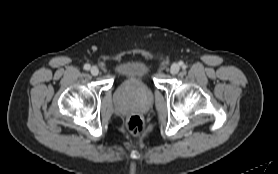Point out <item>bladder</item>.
<instances>
[{
    "instance_id": "bladder-1",
    "label": "bladder",
    "mask_w": 278,
    "mask_h": 174,
    "mask_svg": "<svg viewBox=\"0 0 278 174\" xmlns=\"http://www.w3.org/2000/svg\"><path fill=\"white\" fill-rule=\"evenodd\" d=\"M117 72L128 79L143 80L150 74L149 65L138 59L126 60L117 66Z\"/></svg>"
}]
</instances>
